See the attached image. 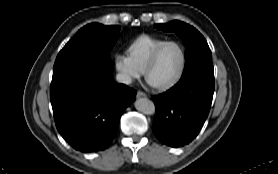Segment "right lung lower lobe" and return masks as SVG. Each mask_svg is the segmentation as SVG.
<instances>
[{"label":"right lung lower lobe","mask_w":278,"mask_h":174,"mask_svg":"<svg viewBox=\"0 0 278 174\" xmlns=\"http://www.w3.org/2000/svg\"><path fill=\"white\" fill-rule=\"evenodd\" d=\"M136 90L117 84L113 74L81 69L52 77L50 101L61 136L76 150L100 151L116 136L119 119Z\"/></svg>","instance_id":"right-lung-lower-lobe-1"}]
</instances>
